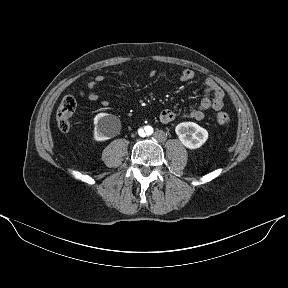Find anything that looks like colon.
Masks as SVG:
<instances>
[{
    "label": "colon",
    "instance_id": "5ec220e1",
    "mask_svg": "<svg viewBox=\"0 0 288 288\" xmlns=\"http://www.w3.org/2000/svg\"><path fill=\"white\" fill-rule=\"evenodd\" d=\"M77 107V99L73 96H65L58 104L56 111V120L61 132L68 133L71 130V118ZM217 122L222 126L230 123L231 117L226 112L217 114Z\"/></svg>",
    "mask_w": 288,
    "mask_h": 288
}]
</instances>
